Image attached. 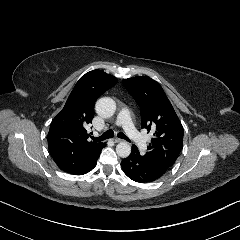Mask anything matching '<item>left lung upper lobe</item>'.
Returning <instances> with one entry per match:
<instances>
[{
  "label": "left lung upper lobe",
  "instance_id": "obj_1",
  "mask_svg": "<svg viewBox=\"0 0 240 240\" xmlns=\"http://www.w3.org/2000/svg\"><path fill=\"white\" fill-rule=\"evenodd\" d=\"M123 83L140 107L142 128L154 135L143 156L153 164L169 169L180 154L184 134L173 106L163 88L149 77L123 79ZM132 149L138 151L135 145Z\"/></svg>",
  "mask_w": 240,
  "mask_h": 240
}]
</instances>
